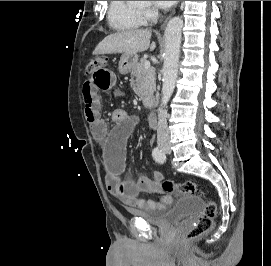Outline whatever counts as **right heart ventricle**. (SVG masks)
<instances>
[{
    "label": "right heart ventricle",
    "mask_w": 271,
    "mask_h": 266,
    "mask_svg": "<svg viewBox=\"0 0 271 266\" xmlns=\"http://www.w3.org/2000/svg\"><path fill=\"white\" fill-rule=\"evenodd\" d=\"M108 21L118 31L134 30L145 23L143 11L130 1H110Z\"/></svg>",
    "instance_id": "right-heart-ventricle-1"
}]
</instances>
